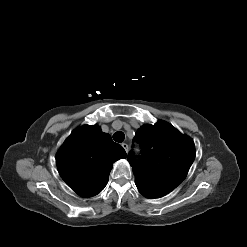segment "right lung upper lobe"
<instances>
[{
	"label": "right lung upper lobe",
	"instance_id": "obj_1",
	"mask_svg": "<svg viewBox=\"0 0 247 247\" xmlns=\"http://www.w3.org/2000/svg\"><path fill=\"white\" fill-rule=\"evenodd\" d=\"M126 158L123 147L97 125L74 130L56 155L62 179L77 194L91 197L107 185L112 163Z\"/></svg>",
	"mask_w": 247,
	"mask_h": 247
}]
</instances>
